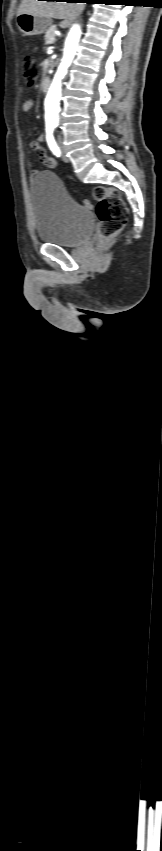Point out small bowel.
Segmentation results:
<instances>
[{
    "label": "small bowel",
    "mask_w": 162,
    "mask_h": 851,
    "mask_svg": "<svg viewBox=\"0 0 162 851\" xmlns=\"http://www.w3.org/2000/svg\"><path fill=\"white\" fill-rule=\"evenodd\" d=\"M33 106L34 101L30 98H27L22 102V111L24 113H27L33 108ZM44 139L45 137L43 135H40L37 141L31 143L30 147L45 166H47L48 168H54L56 166V160L52 157H49L44 147L41 145Z\"/></svg>",
    "instance_id": "1"
}]
</instances>
